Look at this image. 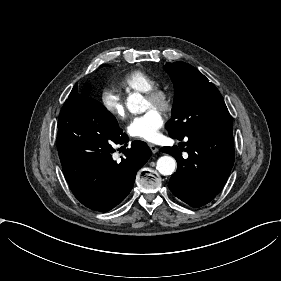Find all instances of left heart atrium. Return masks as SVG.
<instances>
[{
	"instance_id": "left-heart-atrium-1",
	"label": "left heart atrium",
	"mask_w": 281,
	"mask_h": 281,
	"mask_svg": "<svg viewBox=\"0 0 281 281\" xmlns=\"http://www.w3.org/2000/svg\"><path fill=\"white\" fill-rule=\"evenodd\" d=\"M164 126V118L156 109H149L144 114L134 117L126 129L131 137L146 141L157 142L161 138V129Z\"/></svg>"
}]
</instances>
